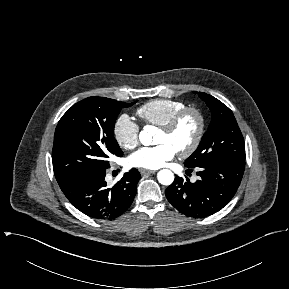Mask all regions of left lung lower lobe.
<instances>
[{
	"mask_svg": "<svg viewBox=\"0 0 289 289\" xmlns=\"http://www.w3.org/2000/svg\"><path fill=\"white\" fill-rule=\"evenodd\" d=\"M197 167L200 168L197 172L199 180L191 183L187 177H176L165 194L172 206L182 214L203 218L221 210L230 202L240 185L245 163L220 159Z\"/></svg>",
	"mask_w": 289,
	"mask_h": 289,
	"instance_id": "left-lung-lower-lobe-1",
	"label": "left lung lower lobe"
}]
</instances>
